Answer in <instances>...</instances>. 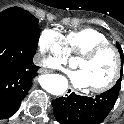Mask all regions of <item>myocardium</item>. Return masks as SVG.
<instances>
[{
	"instance_id": "obj_1",
	"label": "myocardium",
	"mask_w": 124,
	"mask_h": 124,
	"mask_svg": "<svg viewBox=\"0 0 124 124\" xmlns=\"http://www.w3.org/2000/svg\"><path fill=\"white\" fill-rule=\"evenodd\" d=\"M105 50H112L115 55V70L112 77L109 79L107 83L98 87L89 88V91L92 93H104L110 89H112L120 80L122 73L124 72V63L122 59V55L118 48L111 43H104L96 45L82 54L78 61H86L95 58L101 52Z\"/></svg>"
}]
</instances>
